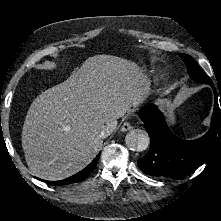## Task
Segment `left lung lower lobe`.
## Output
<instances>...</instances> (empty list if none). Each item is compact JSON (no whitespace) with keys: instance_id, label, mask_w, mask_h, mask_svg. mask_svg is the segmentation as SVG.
I'll list each match as a JSON object with an SVG mask.
<instances>
[{"instance_id":"0a47b994","label":"left lung lower lobe","mask_w":221,"mask_h":221,"mask_svg":"<svg viewBox=\"0 0 221 221\" xmlns=\"http://www.w3.org/2000/svg\"><path fill=\"white\" fill-rule=\"evenodd\" d=\"M209 85L215 95L214 112L209 131L199 139L186 141L174 136L154 104L139 111L151 140L148 153L137 161L143 173L161 178L189 174L202 165L221 143V91L218 94L213 83Z\"/></svg>"}]
</instances>
